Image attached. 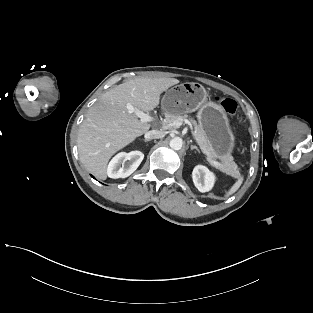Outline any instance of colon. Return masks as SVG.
Returning a JSON list of instances; mask_svg holds the SVG:
<instances>
[{"label":"colon","instance_id":"1","mask_svg":"<svg viewBox=\"0 0 313 313\" xmlns=\"http://www.w3.org/2000/svg\"><path fill=\"white\" fill-rule=\"evenodd\" d=\"M216 102L220 104L223 111L229 116L232 117L237 110V103L234 99L228 97H217Z\"/></svg>","mask_w":313,"mask_h":313}]
</instances>
